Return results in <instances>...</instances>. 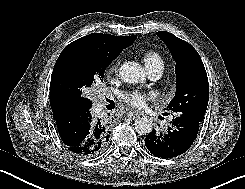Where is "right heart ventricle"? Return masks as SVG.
<instances>
[{
    "instance_id": "e07e8e85",
    "label": "right heart ventricle",
    "mask_w": 245,
    "mask_h": 189,
    "mask_svg": "<svg viewBox=\"0 0 245 189\" xmlns=\"http://www.w3.org/2000/svg\"><path fill=\"white\" fill-rule=\"evenodd\" d=\"M142 59L146 69L153 67L164 68V59L162 55L154 50H148L142 53Z\"/></svg>"
}]
</instances>
